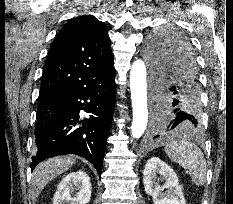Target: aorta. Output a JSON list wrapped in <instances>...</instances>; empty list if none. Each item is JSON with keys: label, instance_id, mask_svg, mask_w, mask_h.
<instances>
[{"label": "aorta", "instance_id": "762f6f07", "mask_svg": "<svg viewBox=\"0 0 233 204\" xmlns=\"http://www.w3.org/2000/svg\"><path fill=\"white\" fill-rule=\"evenodd\" d=\"M146 74L144 61L141 59L136 60L132 64L130 71V89L133 107L131 135L134 138H139L143 135L148 123ZM168 107L167 103L160 106L164 112Z\"/></svg>", "mask_w": 233, "mask_h": 204}]
</instances>
